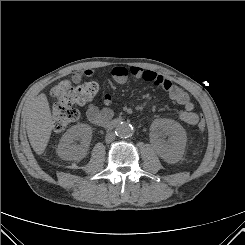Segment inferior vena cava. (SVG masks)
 I'll return each instance as SVG.
<instances>
[{
	"mask_svg": "<svg viewBox=\"0 0 245 245\" xmlns=\"http://www.w3.org/2000/svg\"><path fill=\"white\" fill-rule=\"evenodd\" d=\"M115 137H116L115 133L109 132V133L106 134L105 140H106L107 143H110V142L115 140Z\"/></svg>",
	"mask_w": 245,
	"mask_h": 245,
	"instance_id": "602c4592",
	"label": "inferior vena cava"
}]
</instances>
